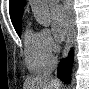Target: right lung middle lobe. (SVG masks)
I'll return each instance as SVG.
<instances>
[{"mask_svg": "<svg viewBox=\"0 0 89 89\" xmlns=\"http://www.w3.org/2000/svg\"><path fill=\"white\" fill-rule=\"evenodd\" d=\"M16 32L19 36H21V28L17 29Z\"/></svg>", "mask_w": 89, "mask_h": 89, "instance_id": "right-lung-middle-lobe-1", "label": "right lung middle lobe"}]
</instances>
